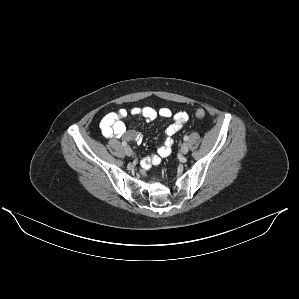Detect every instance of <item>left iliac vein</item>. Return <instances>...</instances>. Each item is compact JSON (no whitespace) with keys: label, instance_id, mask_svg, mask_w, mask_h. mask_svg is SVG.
Returning <instances> with one entry per match:
<instances>
[{"label":"left iliac vein","instance_id":"left-iliac-vein-1","mask_svg":"<svg viewBox=\"0 0 299 299\" xmlns=\"http://www.w3.org/2000/svg\"><path fill=\"white\" fill-rule=\"evenodd\" d=\"M180 151H181L182 154H187L188 151H189L188 144L187 143H183L181 145Z\"/></svg>","mask_w":299,"mask_h":299}]
</instances>
